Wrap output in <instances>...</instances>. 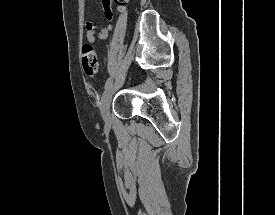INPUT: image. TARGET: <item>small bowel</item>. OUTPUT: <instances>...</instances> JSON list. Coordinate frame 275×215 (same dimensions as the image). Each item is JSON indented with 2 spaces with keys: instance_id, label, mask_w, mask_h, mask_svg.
I'll return each mask as SVG.
<instances>
[{
  "instance_id": "c3829d8e",
  "label": "small bowel",
  "mask_w": 275,
  "mask_h": 215,
  "mask_svg": "<svg viewBox=\"0 0 275 215\" xmlns=\"http://www.w3.org/2000/svg\"><path fill=\"white\" fill-rule=\"evenodd\" d=\"M103 7V12L106 20L111 21L113 18V13L110 9V0H101ZM86 35L85 38L87 42L94 43L96 40H105L111 30V25L108 24L106 27L97 29L96 25L92 22H87L85 25Z\"/></svg>"
}]
</instances>
